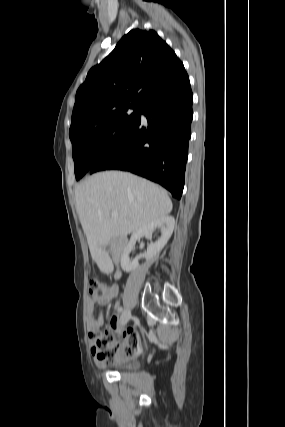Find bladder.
Wrapping results in <instances>:
<instances>
[{
  "label": "bladder",
  "instance_id": "obj_1",
  "mask_svg": "<svg viewBox=\"0 0 285 427\" xmlns=\"http://www.w3.org/2000/svg\"><path fill=\"white\" fill-rule=\"evenodd\" d=\"M124 367L127 368V369H135L136 368V366L133 363H130V362L126 363L124 365Z\"/></svg>",
  "mask_w": 285,
  "mask_h": 427
}]
</instances>
